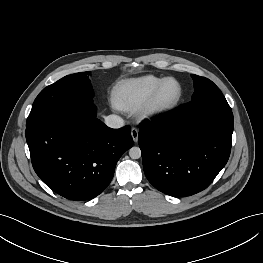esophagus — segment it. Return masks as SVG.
Masks as SVG:
<instances>
[{
	"label": "esophagus",
	"mask_w": 263,
	"mask_h": 263,
	"mask_svg": "<svg viewBox=\"0 0 263 263\" xmlns=\"http://www.w3.org/2000/svg\"><path fill=\"white\" fill-rule=\"evenodd\" d=\"M131 135H132L133 141L137 142L138 141V129L133 127L131 129Z\"/></svg>",
	"instance_id": "obj_1"
}]
</instances>
